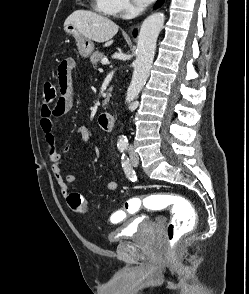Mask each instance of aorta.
Wrapping results in <instances>:
<instances>
[{
    "label": "aorta",
    "mask_w": 249,
    "mask_h": 294,
    "mask_svg": "<svg viewBox=\"0 0 249 294\" xmlns=\"http://www.w3.org/2000/svg\"><path fill=\"white\" fill-rule=\"evenodd\" d=\"M165 16L163 13H154L147 17L141 25L137 41V57L134 62V71L131 83L126 93L125 102L133 101L145 85L154 60L156 42L163 28ZM126 136L118 139V145L126 146Z\"/></svg>",
    "instance_id": "1"
}]
</instances>
